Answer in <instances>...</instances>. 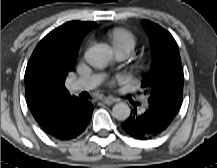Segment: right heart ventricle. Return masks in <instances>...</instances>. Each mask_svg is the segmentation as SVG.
I'll use <instances>...</instances> for the list:
<instances>
[{"label": "right heart ventricle", "mask_w": 217, "mask_h": 168, "mask_svg": "<svg viewBox=\"0 0 217 168\" xmlns=\"http://www.w3.org/2000/svg\"><path fill=\"white\" fill-rule=\"evenodd\" d=\"M111 44L114 46V49L120 48L129 54V51L134 47V38L133 36L120 28H115L108 34Z\"/></svg>", "instance_id": "right-heart-ventricle-1"}]
</instances>
